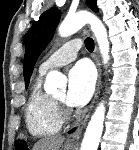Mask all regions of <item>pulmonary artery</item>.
<instances>
[{"label":"pulmonary artery","mask_w":139,"mask_h":150,"mask_svg":"<svg viewBox=\"0 0 139 150\" xmlns=\"http://www.w3.org/2000/svg\"><path fill=\"white\" fill-rule=\"evenodd\" d=\"M80 48L81 42L77 39L65 43L40 65L39 74L44 75L52 68L72 62L77 57Z\"/></svg>","instance_id":"e3ab8cb5"}]
</instances>
